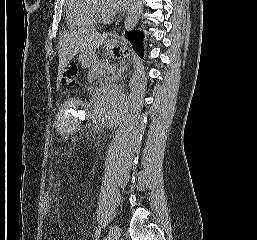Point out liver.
<instances>
[{"label":"liver","mask_w":257,"mask_h":240,"mask_svg":"<svg viewBox=\"0 0 257 240\" xmlns=\"http://www.w3.org/2000/svg\"><path fill=\"white\" fill-rule=\"evenodd\" d=\"M107 34L99 33L94 29H79L66 32L59 39V66L60 78L69 61L78 53H95L106 40Z\"/></svg>","instance_id":"obj_1"}]
</instances>
